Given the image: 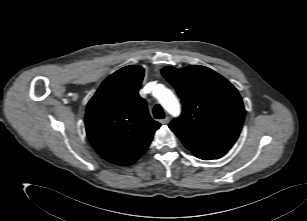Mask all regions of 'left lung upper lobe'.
<instances>
[{"label":"left lung upper lobe","mask_w":307,"mask_h":221,"mask_svg":"<svg viewBox=\"0 0 307 221\" xmlns=\"http://www.w3.org/2000/svg\"><path fill=\"white\" fill-rule=\"evenodd\" d=\"M163 76L177 90L183 111L169 128L182 142L230 149L239 137L245 109L237 89L200 65L165 67Z\"/></svg>","instance_id":"5c2ea615"}]
</instances>
